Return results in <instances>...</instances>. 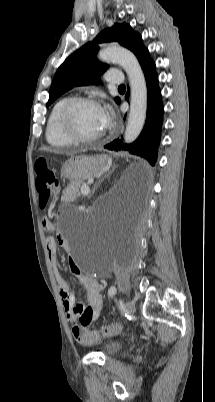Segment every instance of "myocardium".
<instances>
[{"instance_id":"1","label":"myocardium","mask_w":215,"mask_h":402,"mask_svg":"<svg viewBox=\"0 0 215 402\" xmlns=\"http://www.w3.org/2000/svg\"><path fill=\"white\" fill-rule=\"evenodd\" d=\"M83 104H91L100 107V104L96 99L79 96L69 99L60 112V128L64 135L74 143H91L103 136V132L92 136H84L76 130L73 119L74 112L80 105Z\"/></svg>"}]
</instances>
